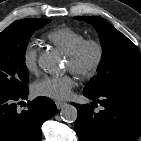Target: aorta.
Returning a JSON list of instances; mask_svg holds the SVG:
<instances>
[{"mask_svg":"<svg viewBox=\"0 0 141 141\" xmlns=\"http://www.w3.org/2000/svg\"><path fill=\"white\" fill-rule=\"evenodd\" d=\"M38 63L45 72L55 74L59 71L58 59L50 52L41 55ZM60 115L63 121L72 123L76 121L78 112L75 106L67 104L61 109Z\"/></svg>","mask_w":141,"mask_h":141,"instance_id":"762f6f07","label":"aorta"}]
</instances>
